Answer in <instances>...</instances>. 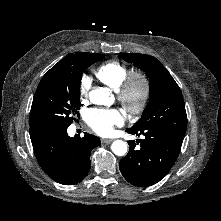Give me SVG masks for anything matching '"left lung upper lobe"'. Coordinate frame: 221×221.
<instances>
[{"label":"left lung upper lobe","instance_id":"5c2ea615","mask_svg":"<svg viewBox=\"0 0 221 221\" xmlns=\"http://www.w3.org/2000/svg\"><path fill=\"white\" fill-rule=\"evenodd\" d=\"M127 62L143 70L150 80V100L141 119L133 127L137 129L169 127L177 123V117L186 115L185 104L179 86L167 69L153 56L144 54H120Z\"/></svg>","mask_w":221,"mask_h":221}]
</instances>
